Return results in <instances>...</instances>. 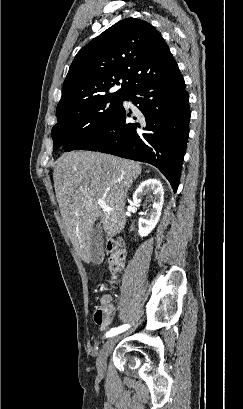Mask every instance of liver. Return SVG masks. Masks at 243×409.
Returning a JSON list of instances; mask_svg holds the SVG:
<instances>
[{
	"label": "liver",
	"mask_w": 243,
	"mask_h": 409,
	"mask_svg": "<svg viewBox=\"0 0 243 409\" xmlns=\"http://www.w3.org/2000/svg\"><path fill=\"white\" fill-rule=\"evenodd\" d=\"M139 163L90 151L64 153L53 171L56 198L66 233L80 257L91 260V231L98 218L107 238L126 224L125 199L141 174ZM98 199L109 210L101 211Z\"/></svg>",
	"instance_id": "liver-1"
}]
</instances>
